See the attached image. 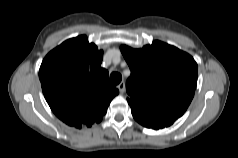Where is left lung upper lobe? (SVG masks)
<instances>
[{"label": "left lung upper lobe", "mask_w": 238, "mask_h": 158, "mask_svg": "<svg viewBox=\"0 0 238 158\" xmlns=\"http://www.w3.org/2000/svg\"><path fill=\"white\" fill-rule=\"evenodd\" d=\"M120 49L131 70L126 89L132 113L150 118L181 117L196 89L195 60L161 41L142 49L126 45Z\"/></svg>", "instance_id": "obj_1"}]
</instances>
